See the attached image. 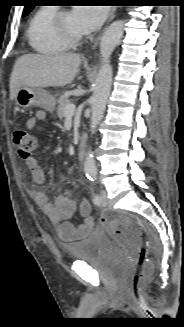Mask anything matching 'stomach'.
Wrapping results in <instances>:
<instances>
[{"mask_svg": "<svg viewBox=\"0 0 184 327\" xmlns=\"http://www.w3.org/2000/svg\"><path fill=\"white\" fill-rule=\"evenodd\" d=\"M15 104L23 109L37 106L53 113L56 99L41 87H21L15 96Z\"/></svg>", "mask_w": 184, "mask_h": 327, "instance_id": "stomach-1", "label": "stomach"}]
</instances>
